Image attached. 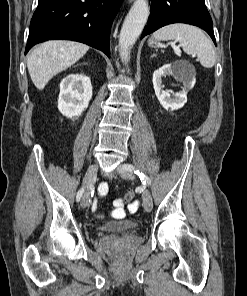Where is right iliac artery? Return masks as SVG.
<instances>
[{
	"label": "right iliac artery",
	"mask_w": 247,
	"mask_h": 296,
	"mask_svg": "<svg viewBox=\"0 0 247 296\" xmlns=\"http://www.w3.org/2000/svg\"><path fill=\"white\" fill-rule=\"evenodd\" d=\"M83 192H84V187H82V188L78 191V193H77V196H76V201H77V202L80 201Z\"/></svg>",
	"instance_id": "82829eb1"
}]
</instances>
